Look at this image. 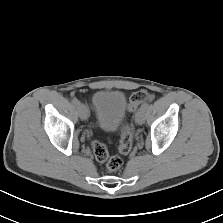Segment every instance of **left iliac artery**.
Instances as JSON below:
<instances>
[{
  "label": "left iliac artery",
  "mask_w": 223,
  "mask_h": 223,
  "mask_svg": "<svg viewBox=\"0 0 223 223\" xmlns=\"http://www.w3.org/2000/svg\"><path fill=\"white\" fill-rule=\"evenodd\" d=\"M148 105H149L148 103H144V104H142V105H141V109L145 110V109L148 107Z\"/></svg>",
  "instance_id": "left-iliac-artery-1"
}]
</instances>
